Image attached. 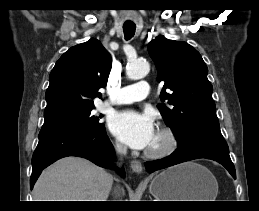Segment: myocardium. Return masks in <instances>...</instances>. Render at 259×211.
<instances>
[{"label": "myocardium", "mask_w": 259, "mask_h": 211, "mask_svg": "<svg viewBox=\"0 0 259 211\" xmlns=\"http://www.w3.org/2000/svg\"><path fill=\"white\" fill-rule=\"evenodd\" d=\"M157 133L162 138V144L155 148H148L145 155L150 158H161L171 154L177 147V136L168 126H161Z\"/></svg>", "instance_id": "obj_1"}]
</instances>
